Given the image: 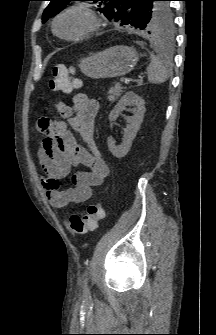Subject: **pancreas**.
<instances>
[{"mask_svg": "<svg viewBox=\"0 0 216 335\" xmlns=\"http://www.w3.org/2000/svg\"><path fill=\"white\" fill-rule=\"evenodd\" d=\"M122 86L120 83H116L113 87H111L108 91V100L110 102H115L122 93Z\"/></svg>", "mask_w": 216, "mask_h": 335, "instance_id": "pancreas-1", "label": "pancreas"}]
</instances>
